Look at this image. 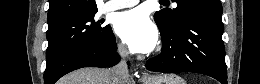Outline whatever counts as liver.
I'll return each mask as SVG.
<instances>
[{
    "label": "liver",
    "mask_w": 260,
    "mask_h": 84,
    "mask_svg": "<svg viewBox=\"0 0 260 84\" xmlns=\"http://www.w3.org/2000/svg\"><path fill=\"white\" fill-rule=\"evenodd\" d=\"M112 78V69L90 67L67 74L59 80L58 84H113Z\"/></svg>",
    "instance_id": "6515ba94"
}]
</instances>
